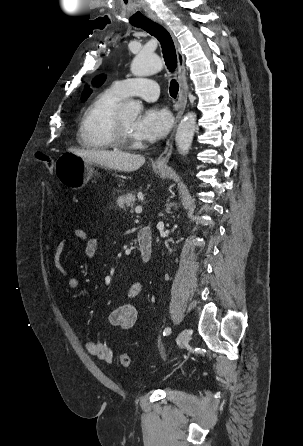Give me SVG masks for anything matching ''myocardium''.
Listing matches in <instances>:
<instances>
[{"label":"myocardium","mask_w":303,"mask_h":446,"mask_svg":"<svg viewBox=\"0 0 303 446\" xmlns=\"http://www.w3.org/2000/svg\"><path fill=\"white\" fill-rule=\"evenodd\" d=\"M114 141L116 146L123 148H129L136 145L134 137L127 131L119 115H117L115 119Z\"/></svg>","instance_id":"1"}]
</instances>
